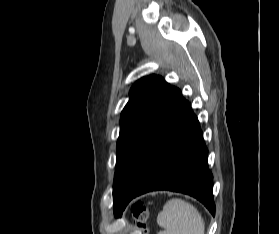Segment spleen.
Instances as JSON below:
<instances>
[{
    "mask_svg": "<svg viewBox=\"0 0 279 234\" xmlns=\"http://www.w3.org/2000/svg\"><path fill=\"white\" fill-rule=\"evenodd\" d=\"M157 223L164 230L158 234H205L201 214L182 199H171L157 216Z\"/></svg>",
    "mask_w": 279,
    "mask_h": 234,
    "instance_id": "obj_1",
    "label": "spleen"
}]
</instances>
